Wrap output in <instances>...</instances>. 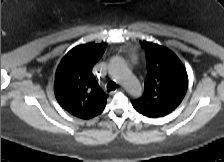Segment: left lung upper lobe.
Wrapping results in <instances>:
<instances>
[{
    "label": "left lung upper lobe",
    "mask_w": 224,
    "mask_h": 162,
    "mask_svg": "<svg viewBox=\"0 0 224 162\" xmlns=\"http://www.w3.org/2000/svg\"><path fill=\"white\" fill-rule=\"evenodd\" d=\"M143 44L148 74L143 96L132 101V105L144 116L162 117L172 112L183 100L188 87L187 72L168 48L146 41Z\"/></svg>",
    "instance_id": "1"
}]
</instances>
